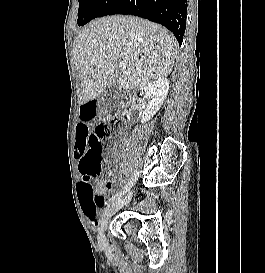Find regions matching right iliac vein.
<instances>
[{"label": "right iliac vein", "instance_id": "1", "mask_svg": "<svg viewBox=\"0 0 265 273\" xmlns=\"http://www.w3.org/2000/svg\"><path fill=\"white\" fill-rule=\"evenodd\" d=\"M133 192H130L127 196L123 197L122 199L116 201L115 203L109 205L100 220V226L98 229V244L102 247L107 246L108 241L105 236V227L107 224V221L118 211L120 210L124 205L128 204L130 200L132 199Z\"/></svg>", "mask_w": 265, "mask_h": 273}]
</instances>
